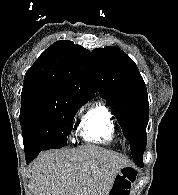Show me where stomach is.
<instances>
[{"label": "stomach", "instance_id": "stomach-1", "mask_svg": "<svg viewBox=\"0 0 178 195\" xmlns=\"http://www.w3.org/2000/svg\"><path fill=\"white\" fill-rule=\"evenodd\" d=\"M127 168H129V167H125V168H122V169L119 170L117 176L115 177L113 186H112V188H111V190L109 192L110 195L114 194V191L116 189V182L118 180H120L119 178L124 177L126 180H128V178L126 176H127V172L129 171V169H127ZM124 190H127V189H124Z\"/></svg>", "mask_w": 178, "mask_h": 195}]
</instances>
